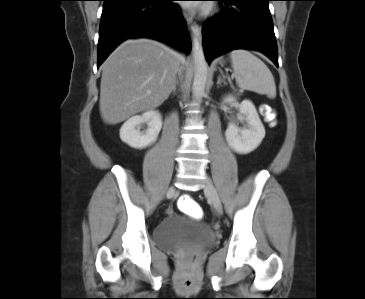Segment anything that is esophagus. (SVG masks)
Returning <instances> with one entry per match:
<instances>
[{"label":"esophagus","mask_w":365,"mask_h":299,"mask_svg":"<svg viewBox=\"0 0 365 299\" xmlns=\"http://www.w3.org/2000/svg\"><path fill=\"white\" fill-rule=\"evenodd\" d=\"M184 17H185V20H186L188 26L192 29L194 27V24H195L194 20H193V17L187 12L184 13Z\"/></svg>","instance_id":"obj_1"}]
</instances>
